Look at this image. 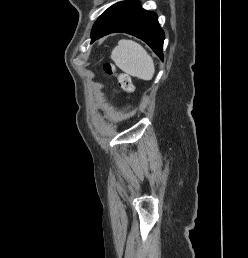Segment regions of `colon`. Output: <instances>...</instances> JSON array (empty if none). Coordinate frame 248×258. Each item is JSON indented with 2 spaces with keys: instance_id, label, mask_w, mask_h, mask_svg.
Masks as SVG:
<instances>
[{
  "instance_id": "1",
  "label": "colon",
  "mask_w": 248,
  "mask_h": 258,
  "mask_svg": "<svg viewBox=\"0 0 248 258\" xmlns=\"http://www.w3.org/2000/svg\"><path fill=\"white\" fill-rule=\"evenodd\" d=\"M104 71L109 76H116L118 80L119 88L127 94H131L133 92V83L132 78L127 73H118L116 68L112 64H106L104 66Z\"/></svg>"
}]
</instances>
